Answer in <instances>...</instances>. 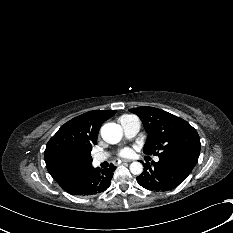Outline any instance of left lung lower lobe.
<instances>
[{
  "mask_svg": "<svg viewBox=\"0 0 233 233\" xmlns=\"http://www.w3.org/2000/svg\"><path fill=\"white\" fill-rule=\"evenodd\" d=\"M144 171L136 179L139 185L151 191H168L177 187L191 173V169L167 158H159L151 165L143 163Z\"/></svg>",
  "mask_w": 233,
  "mask_h": 233,
  "instance_id": "1",
  "label": "left lung lower lobe"
}]
</instances>
